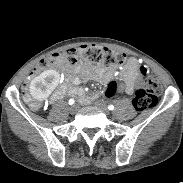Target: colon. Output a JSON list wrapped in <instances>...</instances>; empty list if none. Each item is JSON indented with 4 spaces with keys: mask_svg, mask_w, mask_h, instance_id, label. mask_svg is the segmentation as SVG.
Returning <instances> with one entry per match:
<instances>
[{
    "mask_svg": "<svg viewBox=\"0 0 183 183\" xmlns=\"http://www.w3.org/2000/svg\"><path fill=\"white\" fill-rule=\"evenodd\" d=\"M80 59L106 66H121L127 62V56L123 53L96 44H85L79 48L53 53L41 59L35 67L34 73L45 71L56 65H74ZM138 70L144 76V85L136 91L133 106L136 110L143 111L156 105L162 87L159 81L153 75L148 74L143 66H139ZM118 89L119 83L113 80L108 83L105 94L107 97H112L118 92ZM24 94L27 96L26 92Z\"/></svg>",
    "mask_w": 183,
    "mask_h": 183,
    "instance_id": "obj_1",
    "label": "colon"
}]
</instances>
